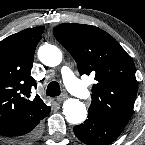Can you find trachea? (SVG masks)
Wrapping results in <instances>:
<instances>
[{"label": "trachea", "instance_id": "trachea-1", "mask_svg": "<svg viewBox=\"0 0 145 145\" xmlns=\"http://www.w3.org/2000/svg\"><path fill=\"white\" fill-rule=\"evenodd\" d=\"M60 93H61L60 85L58 82L52 81L48 84L47 91H46L47 96L55 97V96H59Z\"/></svg>", "mask_w": 145, "mask_h": 145}]
</instances>
